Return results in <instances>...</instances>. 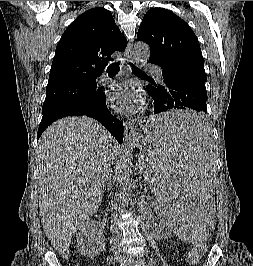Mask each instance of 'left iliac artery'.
I'll list each match as a JSON object with an SVG mask.
<instances>
[{"instance_id": "1", "label": "left iliac artery", "mask_w": 253, "mask_h": 266, "mask_svg": "<svg viewBox=\"0 0 253 266\" xmlns=\"http://www.w3.org/2000/svg\"><path fill=\"white\" fill-rule=\"evenodd\" d=\"M142 263L145 265V266H151L150 264L148 263H145L144 259H141Z\"/></svg>"}]
</instances>
